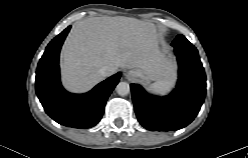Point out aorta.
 <instances>
[{"label": "aorta", "instance_id": "1", "mask_svg": "<svg viewBox=\"0 0 248 158\" xmlns=\"http://www.w3.org/2000/svg\"><path fill=\"white\" fill-rule=\"evenodd\" d=\"M116 92L120 96H126L130 93V85L127 82H119L116 86Z\"/></svg>", "mask_w": 248, "mask_h": 158}]
</instances>
